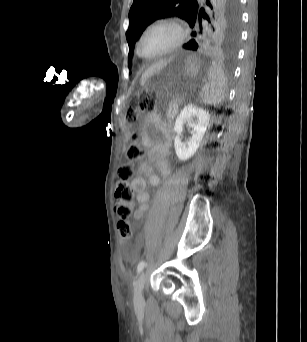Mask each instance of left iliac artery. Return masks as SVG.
I'll return each mask as SVG.
<instances>
[{
    "instance_id": "left-iliac-artery-1",
    "label": "left iliac artery",
    "mask_w": 307,
    "mask_h": 342,
    "mask_svg": "<svg viewBox=\"0 0 307 342\" xmlns=\"http://www.w3.org/2000/svg\"><path fill=\"white\" fill-rule=\"evenodd\" d=\"M145 265H146V262L144 260L141 261L137 266V273H140L144 269Z\"/></svg>"
}]
</instances>
